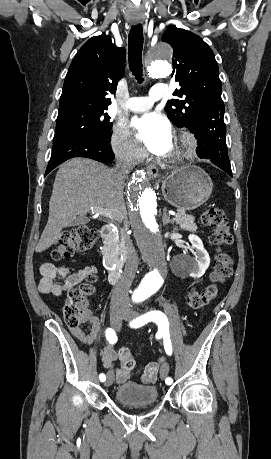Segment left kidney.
Masks as SVG:
<instances>
[{
    "label": "left kidney",
    "instance_id": "5707ae66",
    "mask_svg": "<svg viewBox=\"0 0 271 459\" xmlns=\"http://www.w3.org/2000/svg\"><path fill=\"white\" fill-rule=\"evenodd\" d=\"M189 241H191L192 249H196L195 255L197 259H190L188 261V265H186L187 273L191 275V277H201L203 273H205L207 267H209L210 257L208 251H206L202 239L195 235V233H190L188 235Z\"/></svg>",
    "mask_w": 271,
    "mask_h": 459
}]
</instances>
